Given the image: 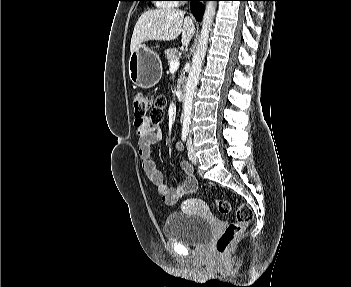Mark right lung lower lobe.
<instances>
[{
  "label": "right lung lower lobe",
  "instance_id": "1",
  "mask_svg": "<svg viewBox=\"0 0 351 287\" xmlns=\"http://www.w3.org/2000/svg\"><path fill=\"white\" fill-rule=\"evenodd\" d=\"M191 4V11L193 13V15L195 16V18L200 21L202 19V15H203V6L198 3V1H208V0H190Z\"/></svg>",
  "mask_w": 351,
  "mask_h": 287
}]
</instances>
